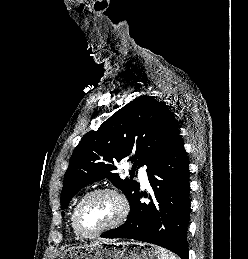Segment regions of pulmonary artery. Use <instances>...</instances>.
Listing matches in <instances>:
<instances>
[{"mask_svg": "<svg viewBox=\"0 0 248 259\" xmlns=\"http://www.w3.org/2000/svg\"><path fill=\"white\" fill-rule=\"evenodd\" d=\"M139 178H140V181H141V183H142V185L144 187H148L149 186L147 175H146V173L143 170H140Z\"/></svg>", "mask_w": 248, "mask_h": 259, "instance_id": "pulmonary-artery-1", "label": "pulmonary artery"}]
</instances>
